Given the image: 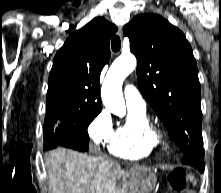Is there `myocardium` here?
Instances as JSON below:
<instances>
[{"label": "myocardium", "mask_w": 221, "mask_h": 193, "mask_svg": "<svg viewBox=\"0 0 221 193\" xmlns=\"http://www.w3.org/2000/svg\"><path fill=\"white\" fill-rule=\"evenodd\" d=\"M147 131L156 143H161L165 140V134L158 124L149 122Z\"/></svg>", "instance_id": "obj_1"}]
</instances>
